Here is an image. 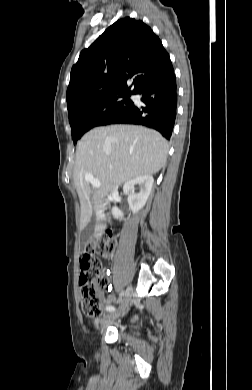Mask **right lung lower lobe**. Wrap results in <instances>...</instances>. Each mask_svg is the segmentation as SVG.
Masks as SVG:
<instances>
[{
  "instance_id": "obj_1",
  "label": "right lung lower lobe",
  "mask_w": 252,
  "mask_h": 390,
  "mask_svg": "<svg viewBox=\"0 0 252 390\" xmlns=\"http://www.w3.org/2000/svg\"><path fill=\"white\" fill-rule=\"evenodd\" d=\"M134 94L141 95L145 107L132 106L107 124H137L159 131L170 139L177 113V83L174 72L142 85Z\"/></svg>"
}]
</instances>
